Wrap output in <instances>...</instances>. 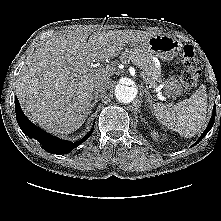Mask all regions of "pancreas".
Listing matches in <instances>:
<instances>
[{
    "instance_id": "pancreas-1",
    "label": "pancreas",
    "mask_w": 221,
    "mask_h": 221,
    "mask_svg": "<svg viewBox=\"0 0 221 221\" xmlns=\"http://www.w3.org/2000/svg\"><path fill=\"white\" fill-rule=\"evenodd\" d=\"M122 59L123 61H131L133 65L137 66L149 86L156 87L162 81L161 70L157 68L149 56L139 52H127L122 56Z\"/></svg>"
}]
</instances>
